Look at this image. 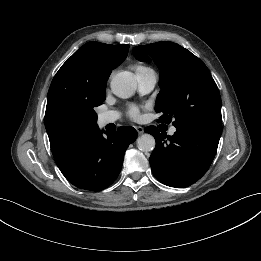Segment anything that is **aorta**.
I'll return each instance as SVG.
<instances>
[{"instance_id": "1", "label": "aorta", "mask_w": 261, "mask_h": 261, "mask_svg": "<svg viewBox=\"0 0 261 261\" xmlns=\"http://www.w3.org/2000/svg\"><path fill=\"white\" fill-rule=\"evenodd\" d=\"M112 92L120 98H129L134 95L137 83L131 72L117 73L111 80ZM156 142L152 135L142 134L137 139V147L142 152H150L155 148Z\"/></svg>"}]
</instances>
